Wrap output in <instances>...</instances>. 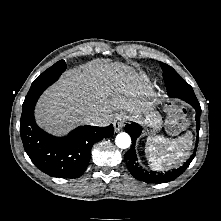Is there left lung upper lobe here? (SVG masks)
Here are the masks:
<instances>
[{
    "label": "left lung upper lobe",
    "instance_id": "obj_1",
    "mask_svg": "<svg viewBox=\"0 0 221 221\" xmlns=\"http://www.w3.org/2000/svg\"><path fill=\"white\" fill-rule=\"evenodd\" d=\"M160 65L163 70V77L166 87L174 84V82L178 81L179 79H182L180 75L171 66L162 62H160Z\"/></svg>",
    "mask_w": 221,
    "mask_h": 221
}]
</instances>
